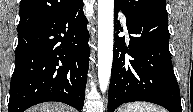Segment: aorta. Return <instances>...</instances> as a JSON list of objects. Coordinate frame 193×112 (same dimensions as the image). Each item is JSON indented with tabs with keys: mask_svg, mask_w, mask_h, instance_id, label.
<instances>
[{
	"mask_svg": "<svg viewBox=\"0 0 193 112\" xmlns=\"http://www.w3.org/2000/svg\"><path fill=\"white\" fill-rule=\"evenodd\" d=\"M114 1L98 0V80L104 93L110 81L113 60Z\"/></svg>",
	"mask_w": 193,
	"mask_h": 112,
	"instance_id": "762f6f07",
	"label": "aorta"
}]
</instances>
